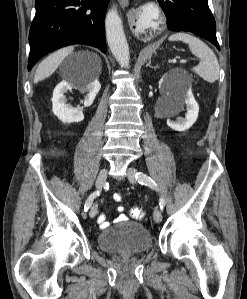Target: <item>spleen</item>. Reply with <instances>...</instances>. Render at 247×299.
I'll return each mask as SVG.
<instances>
[{
	"label": "spleen",
	"instance_id": "3e777b00",
	"mask_svg": "<svg viewBox=\"0 0 247 299\" xmlns=\"http://www.w3.org/2000/svg\"><path fill=\"white\" fill-rule=\"evenodd\" d=\"M170 41H183L189 45L190 51L200 59L193 71L209 83L219 78L220 67L214 52L200 39L188 33H175L169 37Z\"/></svg>",
	"mask_w": 247,
	"mask_h": 299
}]
</instances>
